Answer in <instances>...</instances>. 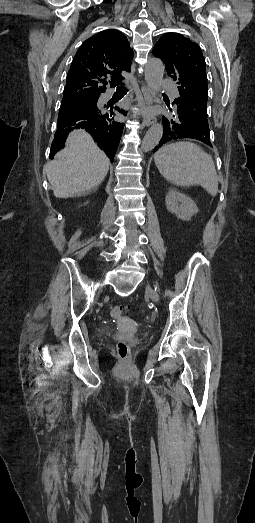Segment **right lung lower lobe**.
I'll list each match as a JSON object with an SVG mask.
<instances>
[{
	"label": "right lung lower lobe",
	"instance_id": "right-lung-lower-lobe-1",
	"mask_svg": "<svg viewBox=\"0 0 255 523\" xmlns=\"http://www.w3.org/2000/svg\"><path fill=\"white\" fill-rule=\"evenodd\" d=\"M99 117L100 112L96 106H93L91 110L87 107L79 109V118L85 120L87 123H90L92 120H97ZM84 139L86 141H91L93 139V134L91 132H86L84 134Z\"/></svg>",
	"mask_w": 255,
	"mask_h": 523
}]
</instances>
